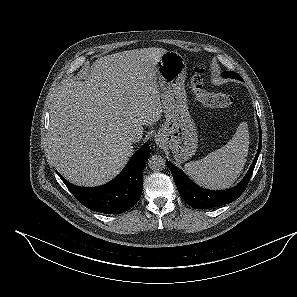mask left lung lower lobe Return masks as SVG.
Here are the masks:
<instances>
[{
  "label": "left lung lower lobe",
  "instance_id": "0a47b994",
  "mask_svg": "<svg viewBox=\"0 0 297 297\" xmlns=\"http://www.w3.org/2000/svg\"><path fill=\"white\" fill-rule=\"evenodd\" d=\"M261 137V127L259 126V147L256 156L253 160V163L243 180L235 187L227 190L211 191L203 189L197 186L195 183H193L179 168L166 162L168 168L170 169L173 175L176 187L183 200L188 205L196 209H208L218 207L236 200L243 193L252 176L259 153L261 151Z\"/></svg>",
  "mask_w": 297,
  "mask_h": 297
}]
</instances>
